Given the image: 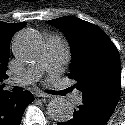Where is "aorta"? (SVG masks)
Returning <instances> with one entry per match:
<instances>
[{
  "label": "aorta",
  "instance_id": "obj_1",
  "mask_svg": "<svg viewBox=\"0 0 125 125\" xmlns=\"http://www.w3.org/2000/svg\"><path fill=\"white\" fill-rule=\"evenodd\" d=\"M13 45L16 56L29 62L37 57L41 39L34 32L24 30L15 36ZM47 113L55 121L66 122L73 116V107L67 99L57 97L48 103Z\"/></svg>",
  "mask_w": 125,
  "mask_h": 125
}]
</instances>
